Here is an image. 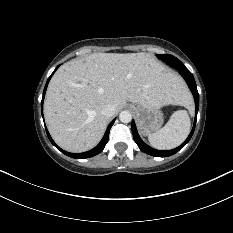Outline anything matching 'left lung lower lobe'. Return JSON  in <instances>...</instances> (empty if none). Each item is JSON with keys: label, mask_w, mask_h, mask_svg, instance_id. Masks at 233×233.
Masks as SVG:
<instances>
[{"label": "left lung lower lobe", "mask_w": 233, "mask_h": 233, "mask_svg": "<svg viewBox=\"0 0 233 233\" xmlns=\"http://www.w3.org/2000/svg\"><path fill=\"white\" fill-rule=\"evenodd\" d=\"M174 67L176 69H178L179 73L182 75V77L185 79V81L187 82L193 96L195 99V106H196V115H195V120H194V125L192 128L191 133L189 134L188 138L184 141L183 144H181L179 147L172 149V150H168V151H160V150H156L151 148L150 146L146 145L141 138L139 137V134L137 132L136 129V125L135 122L132 121V133H133V137L135 142L137 143L138 147L145 153L152 155V156H156V157H168L171 156L173 154H175L176 152H178L183 146H185L189 140L191 139L194 129H195V124H196V120H197V113H198V109H199V94L197 91V87H196V83L194 80V77L192 75V73L182 64H175Z\"/></svg>", "instance_id": "left-lung-lower-lobe-1"}]
</instances>
